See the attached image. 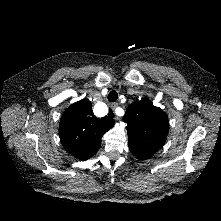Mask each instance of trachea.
I'll use <instances>...</instances> for the list:
<instances>
[{
	"label": "trachea",
	"mask_w": 221,
	"mask_h": 221,
	"mask_svg": "<svg viewBox=\"0 0 221 221\" xmlns=\"http://www.w3.org/2000/svg\"><path fill=\"white\" fill-rule=\"evenodd\" d=\"M118 99V93L115 90H112L108 94V101L115 102Z\"/></svg>",
	"instance_id": "obj_1"
}]
</instances>
